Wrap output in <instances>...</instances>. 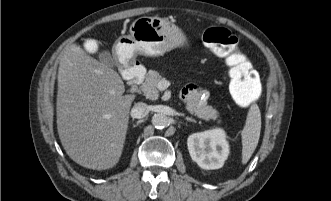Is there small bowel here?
Instances as JSON below:
<instances>
[{
	"label": "small bowel",
	"instance_id": "small-bowel-1",
	"mask_svg": "<svg viewBox=\"0 0 331 201\" xmlns=\"http://www.w3.org/2000/svg\"><path fill=\"white\" fill-rule=\"evenodd\" d=\"M192 90H194V86L190 85L184 90V95H188Z\"/></svg>",
	"mask_w": 331,
	"mask_h": 201
}]
</instances>
